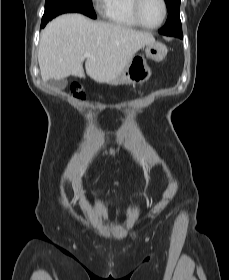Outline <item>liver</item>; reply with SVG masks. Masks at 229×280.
I'll return each mask as SVG.
<instances>
[{
	"mask_svg": "<svg viewBox=\"0 0 229 280\" xmlns=\"http://www.w3.org/2000/svg\"><path fill=\"white\" fill-rule=\"evenodd\" d=\"M155 38L147 32L123 25L92 21L78 14H64L53 19L42 32L38 62L44 82L70 75H87L99 83L116 79L130 59Z\"/></svg>",
	"mask_w": 229,
	"mask_h": 280,
	"instance_id": "liver-1",
	"label": "liver"
}]
</instances>
